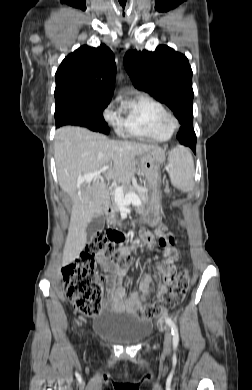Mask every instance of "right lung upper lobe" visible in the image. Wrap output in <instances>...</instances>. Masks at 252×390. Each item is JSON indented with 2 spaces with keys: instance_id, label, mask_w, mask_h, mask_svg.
<instances>
[{
  "instance_id": "1",
  "label": "right lung upper lobe",
  "mask_w": 252,
  "mask_h": 390,
  "mask_svg": "<svg viewBox=\"0 0 252 390\" xmlns=\"http://www.w3.org/2000/svg\"><path fill=\"white\" fill-rule=\"evenodd\" d=\"M114 58L104 44L98 48L84 45L65 57L55 74V103H109L116 74Z\"/></svg>"
}]
</instances>
